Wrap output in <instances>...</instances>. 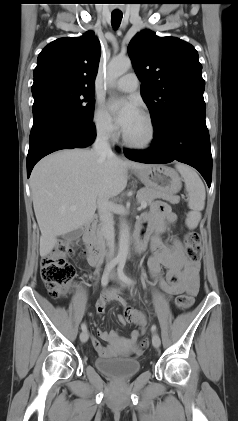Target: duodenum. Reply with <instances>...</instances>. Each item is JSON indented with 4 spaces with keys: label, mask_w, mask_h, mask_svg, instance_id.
<instances>
[{
    "label": "duodenum",
    "mask_w": 238,
    "mask_h": 421,
    "mask_svg": "<svg viewBox=\"0 0 238 421\" xmlns=\"http://www.w3.org/2000/svg\"><path fill=\"white\" fill-rule=\"evenodd\" d=\"M96 223L97 220L95 218L90 219L86 223L83 235V240L87 252V260L93 266L98 265L104 255V250L98 240ZM146 245L147 238L140 232H137L134 241L135 252L137 254H141L145 250Z\"/></svg>",
    "instance_id": "duodenum-1"
}]
</instances>
